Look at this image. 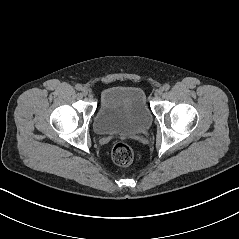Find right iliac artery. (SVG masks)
Here are the masks:
<instances>
[{
    "label": "right iliac artery",
    "instance_id": "1",
    "mask_svg": "<svg viewBox=\"0 0 239 239\" xmlns=\"http://www.w3.org/2000/svg\"><path fill=\"white\" fill-rule=\"evenodd\" d=\"M75 88L80 91V90H82V85L81 84H76Z\"/></svg>",
    "mask_w": 239,
    "mask_h": 239
}]
</instances>
